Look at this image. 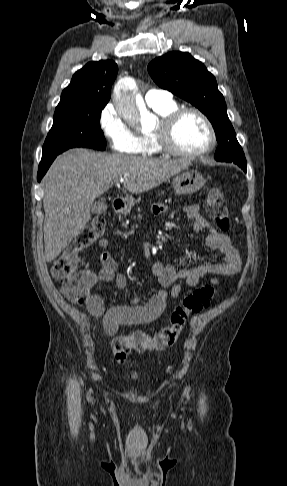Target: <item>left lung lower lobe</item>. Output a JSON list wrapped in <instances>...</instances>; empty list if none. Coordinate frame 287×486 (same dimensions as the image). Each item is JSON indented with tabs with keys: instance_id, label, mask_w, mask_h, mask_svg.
I'll return each mask as SVG.
<instances>
[{
	"instance_id": "0a47b994",
	"label": "left lung lower lobe",
	"mask_w": 287,
	"mask_h": 486,
	"mask_svg": "<svg viewBox=\"0 0 287 486\" xmlns=\"http://www.w3.org/2000/svg\"><path fill=\"white\" fill-rule=\"evenodd\" d=\"M238 166H240L246 172V162L238 163Z\"/></svg>"
}]
</instances>
